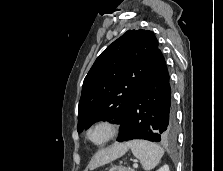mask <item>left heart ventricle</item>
Here are the masks:
<instances>
[{
    "mask_svg": "<svg viewBox=\"0 0 223 171\" xmlns=\"http://www.w3.org/2000/svg\"><path fill=\"white\" fill-rule=\"evenodd\" d=\"M106 136V130L104 128H98L92 133V138L95 141H101Z\"/></svg>",
    "mask_w": 223,
    "mask_h": 171,
    "instance_id": "left-heart-ventricle-1",
    "label": "left heart ventricle"
}]
</instances>
